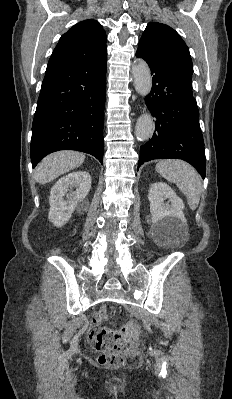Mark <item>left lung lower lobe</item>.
<instances>
[{
  "label": "left lung lower lobe",
  "mask_w": 232,
  "mask_h": 399,
  "mask_svg": "<svg viewBox=\"0 0 232 399\" xmlns=\"http://www.w3.org/2000/svg\"><path fill=\"white\" fill-rule=\"evenodd\" d=\"M136 56L148 63L153 75L151 93L145 101L156 119L152 138L140 147L138 168L153 159H182L204 179L205 147L192 87L155 52L138 47Z\"/></svg>",
  "instance_id": "1"
}]
</instances>
